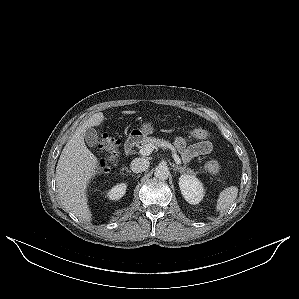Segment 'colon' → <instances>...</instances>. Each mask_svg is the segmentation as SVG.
Listing matches in <instances>:
<instances>
[{
    "instance_id": "colon-1",
    "label": "colon",
    "mask_w": 299,
    "mask_h": 299,
    "mask_svg": "<svg viewBox=\"0 0 299 299\" xmlns=\"http://www.w3.org/2000/svg\"><path fill=\"white\" fill-rule=\"evenodd\" d=\"M186 137L194 140H206L211 137V133L202 128H192L186 132ZM98 146L100 149L109 153L108 159L101 160L98 166L100 172H106L118 157L119 141L107 135H103L98 140ZM208 169L217 171L219 166L215 161H211L208 163Z\"/></svg>"
}]
</instances>
